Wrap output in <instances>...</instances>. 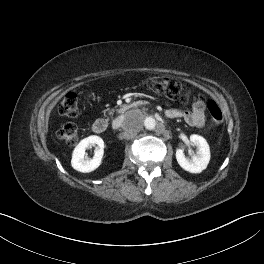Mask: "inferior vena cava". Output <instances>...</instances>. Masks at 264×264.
Returning <instances> with one entry per match:
<instances>
[{
	"label": "inferior vena cava",
	"mask_w": 264,
	"mask_h": 264,
	"mask_svg": "<svg viewBox=\"0 0 264 264\" xmlns=\"http://www.w3.org/2000/svg\"><path fill=\"white\" fill-rule=\"evenodd\" d=\"M124 122L123 118H117L116 120L113 121L112 127L113 129H117L118 127H120L122 125V123Z\"/></svg>",
	"instance_id": "602c4592"
}]
</instances>
